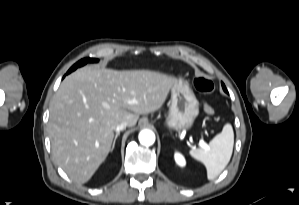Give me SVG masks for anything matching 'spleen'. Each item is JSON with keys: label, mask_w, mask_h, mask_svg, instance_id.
<instances>
[{"label": "spleen", "mask_w": 299, "mask_h": 205, "mask_svg": "<svg viewBox=\"0 0 299 205\" xmlns=\"http://www.w3.org/2000/svg\"><path fill=\"white\" fill-rule=\"evenodd\" d=\"M234 132L232 125H224L222 132L217 134L207 148L192 149L189 154L203 163L207 170V178L215 179L228 165L233 151Z\"/></svg>", "instance_id": "spleen-1"}]
</instances>
